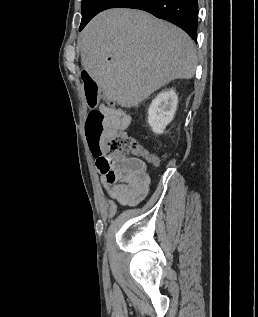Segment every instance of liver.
<instances>
[{
	"mask_svg": "<svg viewBox=\"0 0 258 317\" xmlns=\"http://www.w3.org/2000/svg\"><path fill=\"white\" fill-rule=\"evenodd\" d=\"M82 66L120 106H138L174 78H192L195 44L178 26L144 10L110 8L94 16L79 38Z\"/></svg>",
	"mask_w": 258,
	"mask_h": 317,
	"instance_id": "6515ba94",
	"label": "liver"
}]
</instances>
